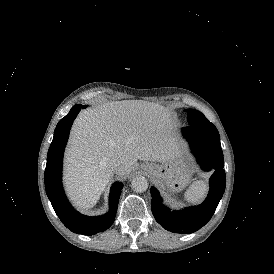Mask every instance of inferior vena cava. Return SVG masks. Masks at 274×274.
Returning <instances> with one entry per match:
<instances>
[{
  "label": "inferior vena cava",
  "mask_w": 274,
  "mask_h": 274,
  "mask_svg": "<svg viewBox=\"0 0 274 274\" xmlns=\"http://www.w3.org/2000/svg\"><path fill=\"white\" fill-rule=\"evenodd\" d=\"M113 168H114V169L119 168V170L122 169V167H121V165H120V161H119L118 159H115V160H114V162H113Z\"/></svg>",
  "instance_id": "obj_1"
}]
</instances>
